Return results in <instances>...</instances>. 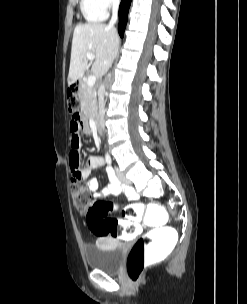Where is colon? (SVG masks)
<instances>
[{
    "instance_id": "obj_1",
    "label": "colon",
    "mask_w": 247,
    "mask_h": 304,
    "mask_svg": "<svg viewBox=\"0 0 247 304\" xmlns=\"http://www.w3.org/2000/svg\"><path fill=\"white\" fill-rule=\"evenodd\" d=\"M67 105L70 112H78L79 99L77 89L67 93ZM80 120V119H71ZM71 193L76 208L87 216L89 229L97 236L112 237L135 241L141 230L136 222L152 225L148 233L141 236L132 246L127 258V273L133 282L141 278L145 266L153 259H164L165 253H173L178 244L176 225H166L172 221V214H167L163 202H137L126 206L123 215L126 219L108 217L113 205L108 201L90 202L86 188L81 180L72 178Z\"/></svg>"
}]
</instances>
